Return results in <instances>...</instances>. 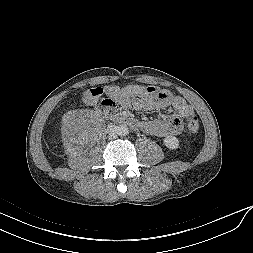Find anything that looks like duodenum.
Listing matches in <instances>:
<instances>
[{
    "instance_id": "duodenum-1",
    "label": "duodenum",
    "mask_w": 253,
    "mask_h": 253,
    "mask_svg": "<svg viewBox=\"0 0 253 253\" xmlns=\"http://www.w3.org/2000/svg\"><path fill=\"white\" fill-rule=\"evenodd\" d=\"M97 112L99 114L107 115L108 117L111 118V120H113L116 123L128 125L133 129H137V128L141 127V124L137 120H135L134 118L129 117L127 115H123L114 109L99 108L97 110Z\"/></svg>"
}]
</instances>
